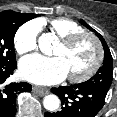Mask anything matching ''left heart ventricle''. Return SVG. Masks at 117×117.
Instances as JSON below:
<instances>
[{"label": "left heart ventricle", "instance_id": "obj_1", "mask_svg": "<svg viewBox=\"0 0 117 117\" xmlns=\"http://www.w3.org/2000/svg\"><path fill=\"white\" fill-rule=\"evenodd\" d=\"M53 55L63 60L69 75H79L93 64L96 50L89 38H83L71 47L59 43Z\"/></svg>", "mask_w": 117, "mask_h": 117}]
</instances>
